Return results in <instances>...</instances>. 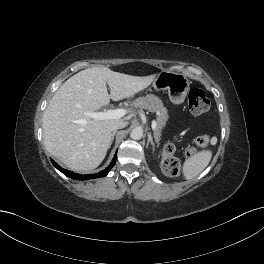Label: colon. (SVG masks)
Wrapping results in <instances>:
<instances>
[{
  "label": "colon",
  "mask_w": 264,
  "mask_h": 264,
  "mask_svg": "<svg viewBox=\"0 0 264 264\" xmlns=\"http://www.w3.org/2000/svg\"><path fill=\"white\" fill-rule=\"evenodd\" d=\"M188 106L191 113L194 115H200L205 113L210 108V101L205 93L200 89H192L188 95ZM210 143V137L208 135L199 136L195 144L198 148H205ZM195 149H189L187 156H191ZM175 152V145L173 143H167L163 148L164 165L168 173L171 175H177L180 172V163L173 157Z\"/></svg>",
  "instance_id": "5ec220e1"
}]
</instances>
